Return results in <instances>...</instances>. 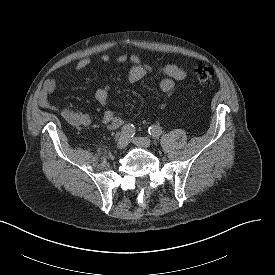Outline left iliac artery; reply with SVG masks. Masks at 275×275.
I'll return each instance as SVG.
<instances>
[{"instance_id": "44dca946", "label": "left iliac artery", "mask_w": 275, "mask_h": 275, "mask_svg": "<svg viewBox=\"0 0 275 275\" xmlns=\"http://www.w3.org/2000/svg\"><path fill=\"white\" fill-rule=\"evenodd\" d=\"M148 132L153 138H158L162 134V129L157 125H152L149 127Z\"/></svg>"}]
</instances>
